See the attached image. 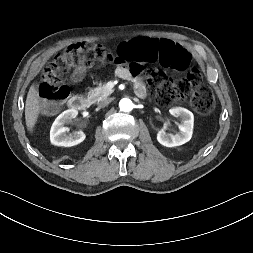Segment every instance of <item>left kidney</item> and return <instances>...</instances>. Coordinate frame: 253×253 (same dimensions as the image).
I'll return each mask as SVG.
<instances>
[{"instance_id": "obj_1", "label": "left kidney", "mask_w": 253, "mask_h": 253, "mask_svg": "<svg viewBox=\"0 0 253 253\" xmlns=\"http://www.w3.org/2000/svg\"><path fill=\"white\" fill-rule=\"evenodd\" d=\"M174 117L180 118L179 132L175 135L160 130L157 133V141L165 147H176L187 143L193 133L194 116L189 110L182 107H173L169 110Z\"/></svg>"}]
</instances>
